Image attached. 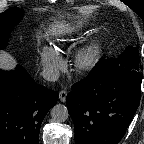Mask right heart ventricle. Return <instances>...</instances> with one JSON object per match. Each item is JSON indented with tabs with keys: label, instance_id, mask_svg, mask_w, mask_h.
<instances>
[{
	"label": "right heart ventricle",
	"instance_id": "obj_1",
	"mask_svg": "<svg viewBox=\"0 0 144 144\" xmlns=\"http://www.w3.org/2000/svg\"><path fill=\"white\" fill-rule=\"evenodd\" d=\"M78 31H79V28H78V27H72V28L69 30L70 34H74V33L78 32ZM62 41H65V40H62Z\"/></svg>",
	"mask_w": 144,
	"mask_h": 144
}]
</instances>
